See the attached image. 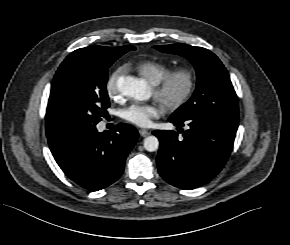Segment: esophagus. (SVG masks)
I'll list each match as a JSON object with an SVG mask.
<instances>
[{
    "label": "esophagus",
    "instance_id": "esophagus-1",
    "mask_svg": "<svg viewBox=\"0 0 290 245\" xmlns=\"http://www.w3.org/2000/svg\"><path fill=\"white\" fill-rule=\"evenodd\" d=\"M139 133L142 137H146V136L150 135V131L145 130V129H140Z\"/></svg>",
    "mask_w": 290,
    "mask_h": 245
}]
</instances>
